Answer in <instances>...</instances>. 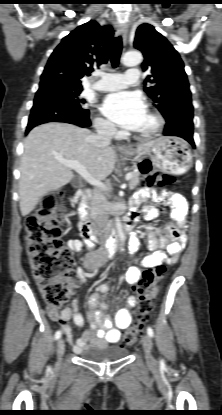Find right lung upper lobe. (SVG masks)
I'll return each instance as SVG.
<instances>
[{
	"label": "right lung upper lobe",
	"mask_w": 222,
	"mask_h": 415,
	"mask_svg": "<svg viewBox=\"0 0 222 415\" xmlns=\"http://www.w3.org/2000/svg\"><path fill=\"white\" fill-rule=\"evenodd\" d=\"M113 34L111 26H100L96 21L77 27L51 54L41 82L54 79L82 87V77L90 75L95 66L107 62Z\"/></svg>",
	"instance_id": "1"
}]
</instances>
